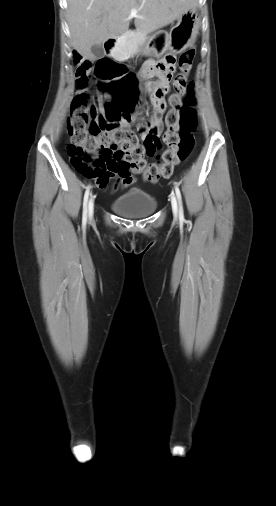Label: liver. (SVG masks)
<instances>
[{"instance_id": "1", "label": "liver", "mask_w": 276, "mask_h": 506, "mask_svg": "<svg viewBox=\"0 0 276 506\" xmlns=\"http://www.w3.org/2000/svg\"><path fill=\"white\" fill-rule=\"evenodd\" d=\"M196 4L197 0H68L71 45L83 59L94 60L91 47L125 32L133 18L139 30L153 31ZM133 9L137 10L134 17Z\"/></svg>"}]
</instances>
